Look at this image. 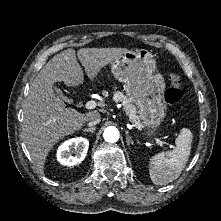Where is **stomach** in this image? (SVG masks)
Masks as SVG:
<instances>
[{"label": "stomach", "instance_id": "1", "mask_svg": "<svg viewBox=\"0 0 221 221\" xmlns=\"http://www.w3.org/2000/svg\"><path fill=\"white\" fill-rule=\"evenodd\" d=\"M111 71L124 83L126 94L138 107L143 126L153 135L167 110L162 101L165 81L157 70L153 54L146 49L127 50L111 62Z\"/></svg>", "mask_w": 221, "mask_h": 221}]
</instances>
